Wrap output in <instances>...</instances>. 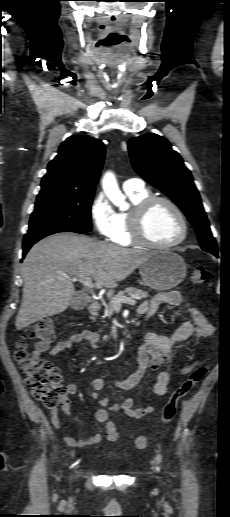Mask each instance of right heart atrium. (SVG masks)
Returning <instances> with one entry per match:
<instances>
[{
    "instance_id": "right-heart-atrium-1",
    "label": "right heart atrium",
    "mask_w": 230,
    "mask_h": 517,
    "mask_svg": "<svg viewBox=\"0 0 230 517\" xmlns=\"http://www.w3.org/2000/svg\"><path fill=\"white\" fill-rule=\"evenodd\" d=\"M90 216L98 234L112 239L117 229V213L104 194H98L93 199Z\"/></svg>"
}]
</instances>
